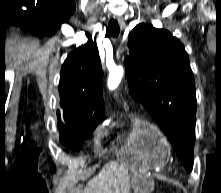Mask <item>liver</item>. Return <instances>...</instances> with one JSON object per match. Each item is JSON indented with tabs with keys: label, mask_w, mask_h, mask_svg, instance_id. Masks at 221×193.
Returning a JSON list of instances; mask_svg holds the SVG:
<instances>
[{
	"label": "liver",
	"mask_w": 221,
	"mask_h": 193,
	"mask_svg": "<svg viewBox=\"0 0 221 193\" xmlns=\"http://www.w3.org/2000/svg\"><path fill=\"white\" fill-rule=\"evenodd\" d=\"M129 187L128 170L122 165L110 163L88 183L84 193H127Z\"/></svg>",
	"instance_id": "1"
}]
</instances>
